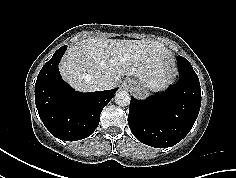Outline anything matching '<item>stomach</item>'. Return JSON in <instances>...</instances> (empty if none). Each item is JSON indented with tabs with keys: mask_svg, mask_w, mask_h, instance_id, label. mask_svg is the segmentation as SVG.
I'll return each mask as SVG.
<instances>
[{
	"mask_svg": "<svg viewBox=\"0 0 236 178\" xmlns=\"http://www.w3.org/2000/svg\"><path fill=\"white\" fill-rule=\"evenodd\" d=\"M128 83H129L131 91L136 96L142 97V96H145V94L147 93V87L140 81L128 79Z\"/></svg>",
	"mask_w": 236,
	"mask_h": 178,
	"instance_id": "obj_1",
	"label": "stomach"
}]
</instances>
